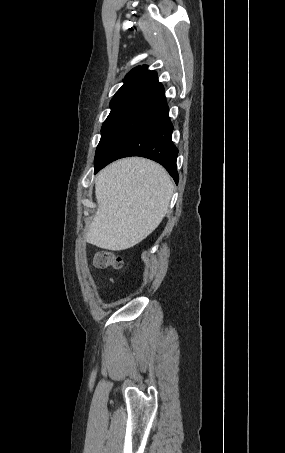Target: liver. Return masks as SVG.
Here are the masks:
<instances>
[{
  "instance_id": "liver-1",
  "label": "liver",
  "mask_w": 285,
  "mask_h": 453,
  "mask_svg": "<svg viewBox=\"0 0 285 453\" xmlns=\"http://www.w3.org/2000/svg\"><path fill=\"white\" fill-rule=\"evenodd\" d=\"M172 193L169 174L155 162L131 157L110 164L95 180L98 208L86 241L112 251L135 246L159 226Z\"/></svg>"
}]
</instances>
